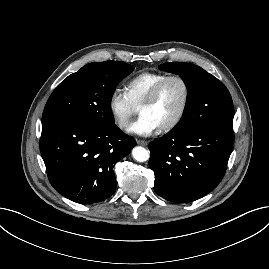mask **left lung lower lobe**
<instances>
[{"instance_id": "0a47b994", "label": "left lung lower lobe", "mask_w": 269, "mask_h": 269, "mask_svg": "<svg viewBox=\"0 0 269 269\" xmlns=\"http://www.w3.org/2000/svg\"><path fill=\"white\" fill-rule=\"evenodd\" d=\"M233 144L232 123L204 125L186 133L168 132L149 144L155 192L188 203L211 192L222 180Z\"/></svg>"}]
</instances>
